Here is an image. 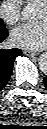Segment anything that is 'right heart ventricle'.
I'll list each match as a JSON object with an SVG mask.
<instances>
[{
	"label": "right heart ventricle",
	"instance_id": "obj_1",
	"mask_svg": "<svg viewBox=\"0 0 47 129\" xmlns=\"http://www.w3.org/2000/svg\"><path fill=\"white\" fill-rule=\"evenodd\" d=\"M45 0H22V2L28 3V4H41Z\"/></svg>",
	"mask_w": 47,
	"mask_h": 129
}]
</instances>
